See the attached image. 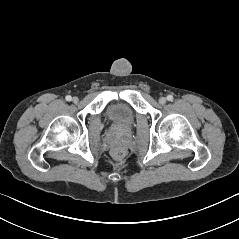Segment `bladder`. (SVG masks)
<instances>
[{
  "instance_id": "1",
  "label": "bladder",
  "mask_w": 239,
  "mask_h": 239,
  "mask_svg": "<svg viewBox=\"0 0 239 239\" xmlns=\"http://www.w3.org/2000/svg\"><path fill=\"white\" fill-rule=\"evenodd\" d=\"M106 117L118 129H129L134 122V113L125 103L115 102L106 109Z\"/></svg>"
}]
</instances>
